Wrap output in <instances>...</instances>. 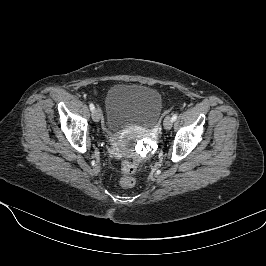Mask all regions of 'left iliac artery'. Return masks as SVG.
Returning <instances> with one entry per match:
<instances>
[{
  "label": "left iliac artery",
  "mask_w": 266,
  "mask_h": 266,
  "mask_svg": "<svg viewBox=\"0 0 266 266\" xmlns=\"http://www.w3.org/2000/svg\"><path fill=\"white\" fill-rule=\"evenodd\" d=\"M171 119H172L173 122L176 121V119H177V113L173 114V116L171 117Z\"/></svg>",
  "instance_id": "44dca946"
}]
</instances>
